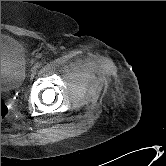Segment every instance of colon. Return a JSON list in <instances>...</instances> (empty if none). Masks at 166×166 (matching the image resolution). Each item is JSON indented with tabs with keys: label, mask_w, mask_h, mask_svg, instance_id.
I'll return each instance as SVG.
<instances>
[{
	"label": "colon",
	"mask_w": 166,
	"mask_h": 166,
	"mask_svg": "<svg viewBox=\"0 0 166 166\" xmlns=\"http://www.w3.org/2000/svg\"><path fill=\"white\" fill-rule=\"evenodd\" d=\"M8 114L7 105L1 101V120L4 119Z\"/></svg>",
	"instance_id": "obj_1"
}]
</instances>
